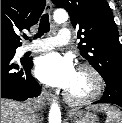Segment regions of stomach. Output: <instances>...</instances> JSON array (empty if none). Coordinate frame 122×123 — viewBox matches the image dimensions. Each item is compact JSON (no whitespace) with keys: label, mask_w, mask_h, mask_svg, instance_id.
I'll return each mask as SVG.
<instances>
[{"label":"stomach","mask_w":122,"mask_h":123,"mask_svg":"<svg viewBox=\"0 0 122 123\" xmlns=\"http://www.w3.org/2000/svg\"><path fill=\"white\" fill-rule=\"evenodd\" d=\"M73 123H98V118L95 114L89 111H80L72 116Z\"/></svg>","instance_id":"obj_1"}]
</instances>
